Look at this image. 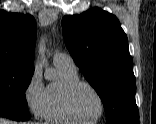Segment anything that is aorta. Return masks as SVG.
I'll list each match as a JSON object with an SVG mask.
<instances>
[{
  "label": "aorta",
  "instance_id": "1",
  "mask_svg": "<svg viewBox=\"0 0 156 124\" xmlns=\"http://www.w3.org/2000/svg\"><path fill=\"white\" fill-rule=\"evenodd\" d=\"M38 48H39V56L42 62L46 64L45 55H44L45 54V39H42L39 42ZM47 78H52V76L49 74Z\"/></svg>",
  "mask_w": 156,
  "mask_h": 124
}]
</instances>
